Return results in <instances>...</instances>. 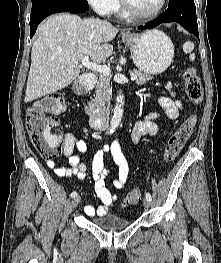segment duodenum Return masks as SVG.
<instances>
[{"instance_id": "1", "label": "duodenum", "mask_w": 221, "mask_h": 263, "mask_svg": "<svg viewBox=\"0 0 221 263\" xmlns=\"http://www.w3.org/2000/svg\"><path fill=\"white\" fill-rule=\"evenodd\" d=\"M96 76L94 73H84L80 79L77 90L88 91L94 87ZM83 108L90 118V123L95 130H106L109 126V117L99 108L94 107L90 102L84 101Z\"/></svg>"}]
</instances>
